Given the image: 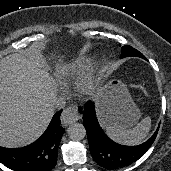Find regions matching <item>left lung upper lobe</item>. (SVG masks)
<instances>
[{
  "mask_svg": "<svg viewBox=\"0 0 171 171\" xmlns=\"http://www.w3.org/2000/svg\"><path fill=\"white\" fill-rule=\"evenodd\" d=\"M130 56H136V57L146 59L142 53H140L138 50L134 49L133 47L129 45L123 46L120 58L130 57Z\"/></svg>",
  "mask_w": 171,
  "mask_h": 171,
  "instance_id": "1",
  "label": "left lung upper lobe"
}]
</instances>
